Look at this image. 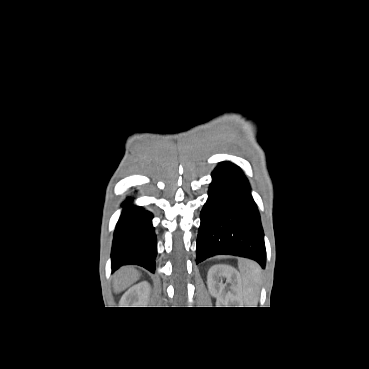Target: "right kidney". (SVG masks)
<instances>
[{"mask_svg": "<svg viewBox=\"0 0 369 369\" xmlns=\"http://www.w3.org/2000/svg\"><path fill=\"white\" fill-rule=\"evenodd\" d=\"M150 294V285L148 282H140L126 292V300L132 304V307H145Z\"/></svg>", "mask_w": 369, "mask_h": 369, "instance_id": "obj_1", "label": "right kidney"}]
</instances>
